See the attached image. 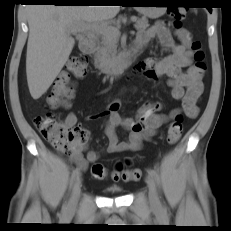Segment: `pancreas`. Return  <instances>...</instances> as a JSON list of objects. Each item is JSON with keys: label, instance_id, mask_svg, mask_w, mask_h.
<instances>
[{"label": "pancreas", "instance_id": "obj_1", "mask_svg": "<svg viewBox=\"0 0 231 231\" xmlns=\"http://www.w3.org/2000/svg\"><path fill=\"white\" fill-rule=\"evenodd\" d=\"M149 27L148 20L145 17L138 18L135 28L144 31ZM117 28V27H116ZM118 37L113 35H101V46L94 55L95 66L103 71L114 67L117 59Z\"/></svg>", "mask_w": 231, "mask_h": 231}]
</instances>
